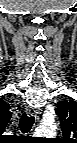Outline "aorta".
<instances>
[{
    "instance_id": "obj_1",
    "label": "aorta",
    "mask_w": 77,
    "mask_h": 143,
    "mask_svg": "<svg viewBox=\"0 0 77 143\" xmlns=\"http://www.w3.org/2000/svg\"><path fill=\"white\" fill-rule=\"evenodd\" d=\"M57 127L54 122L42 123L37 129L36 134L52 137L56 134Z\"/></svg>"
}]
</instances>
